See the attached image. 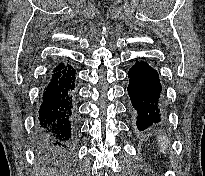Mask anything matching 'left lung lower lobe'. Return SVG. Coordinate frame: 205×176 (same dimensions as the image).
<instances>
[{
	"mask_svg": "<svg viewBox=\"0 0 205 176\" xmlns=\"http://www.w3.org/2000/svg\"><path fill=\"white\" fill-rule=\"evenodd\" d=\"M128 94L138 130H144L164 117L158 72L144 61H137L128 71Z\"/></svg>",
	"mask_w": 205,
	"mask_h": 176,
	"instance_id": "1",
	"label": "left lung lower lobe"
}]
</instances>
